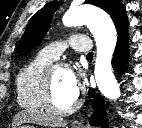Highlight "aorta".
Returning a JSON list of instances; mask_svg holds the SVG:
<instances>
[{
	"label": "aorta",
	"instance_id": "762f6f07",
	"mask_svg": "<svg viewBox=\"0 0 142 128\" xmlns=\"http://www.w3.org/2000/svg\"><path fill=\"white\" fill-rule=\"evenodd\" d=\"M67 27L86 25L96 41L94 75L100 92L111 100L121 96L119 84L112 71V57L117 43V32L111 18L88 6L69 9L63 16Z\"/></svg>",
	"mask_w": 142,
	"mask_h": 128
}]
</instances>
